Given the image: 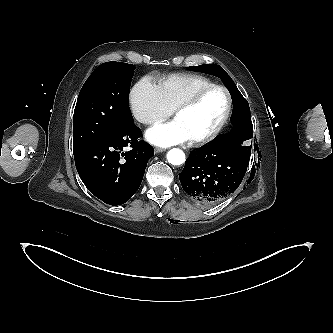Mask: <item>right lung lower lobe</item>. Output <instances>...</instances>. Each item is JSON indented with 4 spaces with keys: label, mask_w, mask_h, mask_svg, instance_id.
I'll return each mask as SVG.
<instances>
[{
    "label": "right lung lower lobe",
    "mask_w": 333,
    "mask_h": 333,
    "mask_svg": "<svg viewBox=\"0 0 333 333\" xmlns=\"http://www.w3.org/2000/svg\"><path fill=\"white\" fill-rule=\"evenodd\" d=\"M141 135L140 129L131 122L119 133L74 154L83 183L103 202L123 204L138 190L147 162L154 155L151 145L138 141ZM126 146L132 149L124 152Z\"/></svg>",
    "instance_id": "98d812e1"
}]
</instances>
